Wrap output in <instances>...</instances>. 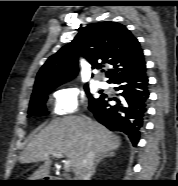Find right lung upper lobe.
Segmentation results:
<instances>
[{"instance_id": "1", "label": "right lung upper lobe", "mask_w": 178, "mask_h": 186, "mask_svg": "<svg viewBox=\"0 0 178 186\" xmlns=\"http://www.w3.org/2000/svg\"><path fill=\"white\" fill-rule=\"evenodd\" d=\"M84 57L92 68L113 66L106 76L113 78L121 71L144 61L138 40L122 24L99 22L81 29L75 38L50 56L37 74L33 94L55 88L78 73L79 57Z\"/></svg>"}]
</instances>
